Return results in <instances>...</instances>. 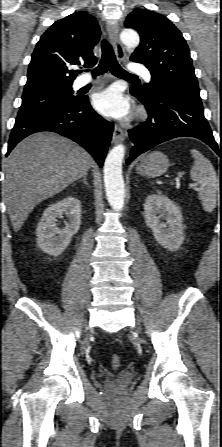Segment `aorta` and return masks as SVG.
Listing matches in <instances>:
<instances>
[{"instance_id":"obj_1","label":"aorta","mask_w":222,"mask_h":447,"mask_svg":"<svg viewBox=\"0 0 222 447\" xmlns=\"http://www.w3.org/2000/svg\"><path fill=\"white\" fill-rule=\"evenodd\" d=\"M120 39L127 50L132 51L139 45V35L135 30L125 29ZM125 155V146L119 144L112 148L104 163V184L107 200L110 206L120 211L124 207L125 185L122 176V163Z\"/></svg>"}]
</instances>
